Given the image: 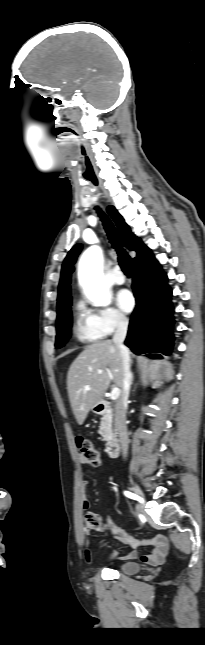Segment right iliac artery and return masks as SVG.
Returning <instances> with one entry per match:
<instances>
[{
    "label": "right iliac artery",
    "mask_w": 205,
    "mask_h": 645,
    "mask_svg": "<svg viewBox=\"0 0 205 645\" xmlns=\"http://www.w3.org/2000/svg\"><path fill=\"white\" fill-rule=\"evenodd\" d=\"M124 494H125V496H127V497H129L131 499L137 500L139 502H143L142 499L138 495H136L134 493H131L129 491H125Z\"/></svg>",
    "instance_id": "obj_1"
}]
</instances>
